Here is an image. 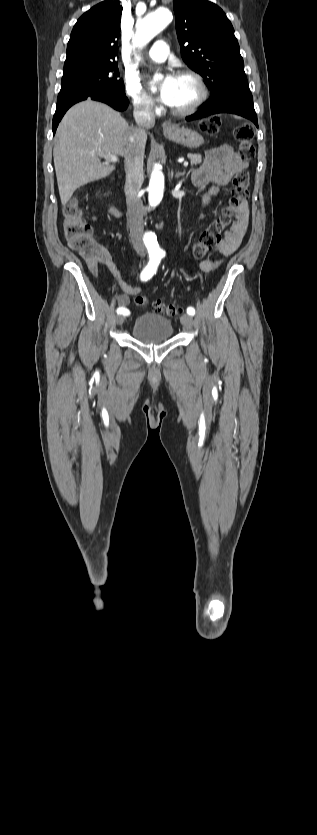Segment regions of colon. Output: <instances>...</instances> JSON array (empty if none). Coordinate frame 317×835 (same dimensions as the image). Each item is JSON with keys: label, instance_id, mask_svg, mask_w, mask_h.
<instances>
[{"label": "colon", "instance_id": "1", "mask_svg": "<svg viewBox=\"0 0 317 835\" xmlns=\"http://www.w3.org/2000/svg\"><path fill=\"white\" fill-rule=\"evenodd\" d=\"M219 128L220 120L218 118H207L201 122L202 131L208 135L217 134ZM234 136L238 143L239 158L245 162L254 160L256 151L253 144V128L250 125H241L235 129ZM249 186L250 176L247 171H240L234 176L230 198L221 214L201 232L198 240L193 244L191 249L193 258H203L220 243L222 232L230 225L235 214L246 204L249 197ZM62 215L63 230L70 247L83 258L92 259L98 248L89 224L82 218V212L76 198H72L63 206ZM135 304L144 308L148 304V299L144 295H138L135 298ZM152 306L154 311L166 316H175L179 311L176 305L165 304L161 301H154Z\"/></svg>", "mask_w": 317, "mask_h": 835}]
</instances>
